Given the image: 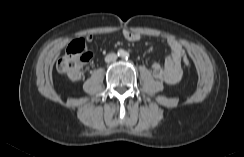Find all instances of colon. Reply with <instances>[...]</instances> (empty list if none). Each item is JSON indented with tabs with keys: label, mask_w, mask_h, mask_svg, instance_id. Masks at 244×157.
I'll return each instance as SVG.
<instances>
[{
	"label": "colon",
	"mask_w": 244,
	"mask_h": 157,
	"mask_svg": "<svg viewBox=\"0 0 244 157\" xmlns=\"http://www.w3.org/2000/svg\"><path fill=\"white\" fill-rule=\"evenodd\" d=\"M92 57V53L85 47L82 39L72 41L65 54L57 62V70L71 81H78L82 76V67ZM185 66H190L191 61L187 55L183 56Z\"/></svg>",
	"instance_id": "1"
}]
</instances>
